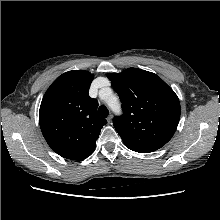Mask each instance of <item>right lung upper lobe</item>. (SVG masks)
I'll return each mask as SVG.
<instances>
[{"label": "right lung upper lobe", "mask_w": 220, "mask_h": 220, "mask_svg": "<svg viewBox=\"0 0 220 220\" xmlns=\"http://www.w3.org/2000/svg\"><path fill=\"white\" fill-rule=\"evenodd\" d=\"M93 74L73 70L59 76L46 91L39 122L48 145L60 156L83 160L96 147L107 123L97 114L98 102L89 96Z\"/></svg>", "instance_id": "obj_1"}]
</instances>
